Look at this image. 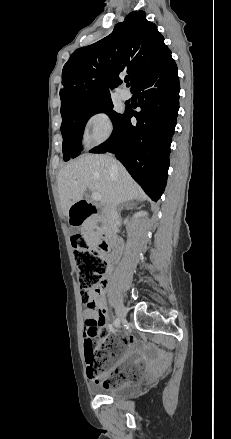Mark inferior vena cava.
<instances>
[{"label":"inferior vena cava","mask_w":231,"mask_h":439,"mask_svg":"<svg viewBox=\"0 0 231 439\" xmlns=\"http://www.w3.org/2000/svg\"><path fill=\"white\" fill-rule=\"evenodd\" d=\"M113 169L117 168V164L114 163L112 166ZM104 215L108 221V225L111 230L114 232L115 230V219L117 218V210L114 204H109L104 207Z\"/></svg>","instance_id":"1"}]
</instances>
